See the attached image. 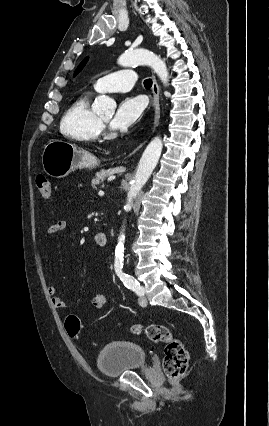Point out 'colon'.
<instances>
[{
  "label": "colon",
  "instance_id": "1",
  "mask_svg": "<svg viewBox=\"0 0 269 426\" xmlns=\"http://www.w3.org/2000/svg\"><path fill=\"white\" fill-rule=\"evenodd\" d=\"M36 184L42 198L47 200L52 198V185L45 175L39 174L36 177ZM65 326L71 337L78 336L80 320L76 315H69L66 318ZM131 332L135 335H143L152 342L165 344L163 371L171 383H175L185 374L189 362L188 351L183 342L175 337L167 326L162 324L147 326L136 324L131 327Z\"/></svg>",
  "mask_w": 269,
  "mask_h": 426
}]
</instances>
